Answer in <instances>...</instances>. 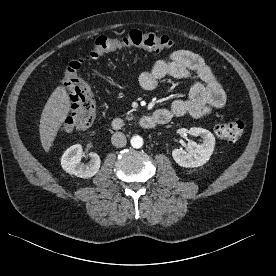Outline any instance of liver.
Returning <instances> with one entry per match:
<instances>
[{"instance_id": "1", "label": "liver", "mask_w": 276, "mask_h": 276, "mask_svg": "<svg viewBox=\"0 0 276 276\" xmlns=\"http://www.w3.org/2000/svg\"><path fill=\"white\" fill-rule=\"evenodd\" d=\"M71 101L64 86H58L50 95L41 114L39 133L45 152H49L57 133L70 112Z\"/></svg>"}]
</instances>
